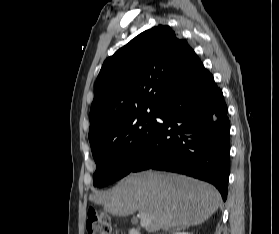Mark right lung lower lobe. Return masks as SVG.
<instances>
[{
  "mask_svg": "<svg viewBox=\"0 0 279 234\" xmlns=\"http://www.w3.org/2000/svg\"><path fill=\"white\" fill-rule=\"evenodd\" d=\"M151 140L132 172L159 169L214 184L227 198L230 124L222 91L201 63L160 107Z\"/></svg>",
  "mask_w": 279,
  "mask_h": 234,
  "instance_id": "right-lung-lower-lobe-1",
  "label": "right lung lower lobe"
}]
</instances>
